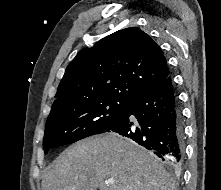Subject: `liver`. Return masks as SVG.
Instances as JSON below:
<instances>
[{
  "label": "liver",
  "mask_w": 221,
  "mask_h": 190,
  "mask_svg": "<svg viewBox=\"0 0 221 190\" xmlns=\"http://www.w3.org/2000/svg\"><path fill=\"white\" fill-rule=\"evenodd\" d=\"M109 178L114 184H106ZM174 190L169 173L146 150L115 133L69 146L45 171L42 190Z\"/></svg>",
  "instance_id": "liver-1"
}]
</instances>
